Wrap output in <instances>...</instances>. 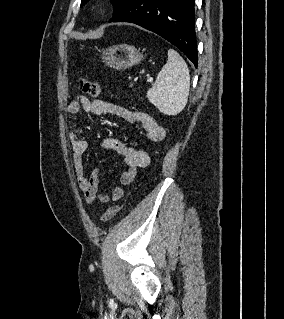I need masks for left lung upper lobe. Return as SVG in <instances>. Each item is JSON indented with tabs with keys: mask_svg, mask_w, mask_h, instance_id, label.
<instances>
[{
	"mask_svg": "<svg viewBox=\"0 0 284 319\" xmlns=\"http://www.w3.org/2000/svg\"><path fill=\"white\" fill-rule=\"evenodd\" d=\"M89 0H81V6L85 5ZM113 3L114 14L116 15L129 0H111Z\"/></svg>",
	"mask_w": 284,
	"mask_h": 319,
	"instance_id": "obj_1",
	"label": "left lung upper lobe"
}]
</instances>
